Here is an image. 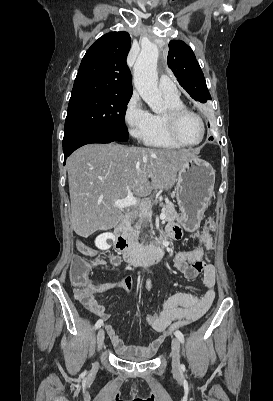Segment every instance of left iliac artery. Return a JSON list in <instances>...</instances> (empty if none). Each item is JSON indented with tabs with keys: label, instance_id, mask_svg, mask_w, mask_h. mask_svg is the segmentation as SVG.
<instances>
[{
	"label": "left iliac artery",
	"instance_id": "44dca946",
	"mask_svg": "<svg viewBox=\"0 0 273 401\" xmlns=\"http://www.w3.org/2000/svg\"><path fill=\"white\" fill-rule=\"evenodd\" d=\"M175 336L179 339L181 343H184V335L179 330L175 332ZM181 367L184 368V365H181Z\"/></svg>",
	"mask_w": 273,
	"mask_h": 401
}]
</instances>
